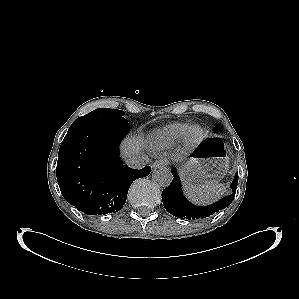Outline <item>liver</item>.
<instances>
[{"mask_svg": "<svg viewBox=\"0 0 299 299\" xmlns=\"http://www.w3.org/2000/svg\"><path fill=\"white\" fill-rule=\"evenodd\" d=\"M142 146L141 138H127L122 144V153L125 157H131L134 154H138Z\"/></svg>", "mask_w": 299, "mask_h": 299, "instance_id": "liver-1", "label": "liver"}]
</instances>
